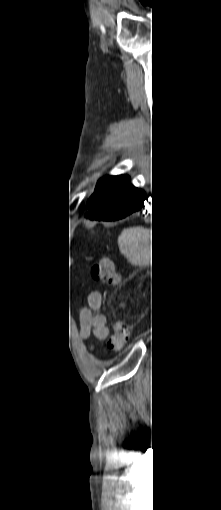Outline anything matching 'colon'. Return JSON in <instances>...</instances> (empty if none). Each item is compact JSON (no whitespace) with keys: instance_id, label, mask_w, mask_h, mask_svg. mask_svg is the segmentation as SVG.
Returning a JSON list of instances; mask_svg holds the SVG:
<instances>
[{"instance_id":"obj_1","label":"colon","mask_w":221,"mask_h":510,"mask_svg":"<svg viewBox=\"0 0 221 510\" xmlns=\"http://www.w3.org/2000/svg\"><path fill=\"white\" fill-rule=\"evenodd\" d=\"M91 275L94 281L105 284H115L118 280L114 272L113 263L108 258L95 262L91 269ZM129 335L130 330L128 327L117 324L108 340V349L112 352L122 350L128 341Z\"/></svg>"}]
</instances>
